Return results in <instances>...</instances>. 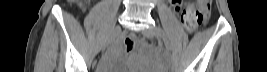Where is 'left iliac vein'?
<instances>
[{
  "label": "left iliac vein",
  "instance_id": "left-iliac-vein-1",
  "mask_svg": "<svg viewBox=\"0 0 267 72\" xmlns=\"http://www.w3.org/2000/svg\"><path fill=\"white\" fill-rule=\"evenodd\" d=\"M143 35L149 39H153L155 37H158V29L157 27H150L145 30H143ZM169 67H172L171 63L168 61Z\"/></svg>",
  "mask_w": 267,
  "mask_h": 72
}]
</instances>
